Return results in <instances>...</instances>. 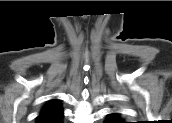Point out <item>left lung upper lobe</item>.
I'll return each mask as SVG.
<instances>
[{
  "label": "left lung upper lobe",
  "instance_id": "obj_1",
  "mask_svg": "<svg viewBox=\"0 0 172 123\" xmlns=\"http://www.w3.org/2000/svg\"><path fill=\"white\" fill-rule=\"evenodd\" d=\"M108 120L113 121V122H121V119L118 116H112Z\"/></svg>",
  "mask_w": 172,
  "mask_h": 123
}]
</instances>
